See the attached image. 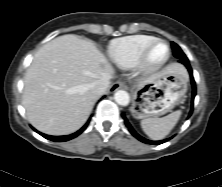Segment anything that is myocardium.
I'll use <instances>...</instances> for the list:
<instances>
[{
    "instance_id": "myocardium-1",
    "label": "myocardium",
    "mask_w": 222,
    "mask_h": 187,
    "mask_svg": "<svg viewBox=\"0 0 222 187\" xmlns=\"http://www.w3.org/2000/svg\"><path fill=\"white\" fill-rule=\"evenodd\" d=\"M159 44L165 45L167 51L162 59L155 61L152 59V53L154 48ZM170 55H171V50L168 42L162 39H155L151 43H149L141 52L139 60L135 66L136 70L144 75L153 74L166 65V63L170 58Z\"/></svg>"
}]
</instances>
